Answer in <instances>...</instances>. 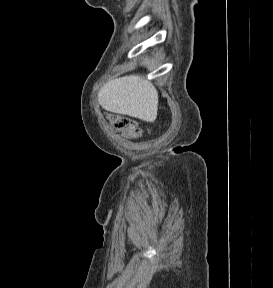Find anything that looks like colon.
<instances>
[{
    "label": "colon",
    "instance_id": "colon-1",
    "mask_svg": "<svg viewBox=\"0 0 273 288\" xmlns=\"http://www.w3.org/2000/svg\"><path fill=\"white\" fill-rule=\"evenodd\" d=\"M107 119L116 131L128 138H138L142 135V129L138 123L130 117L108 114Z\"/></svg>",
    "mask_w": 273,
    "mask_h": 288
}]
</instances>
